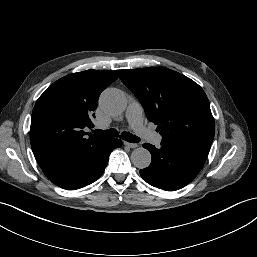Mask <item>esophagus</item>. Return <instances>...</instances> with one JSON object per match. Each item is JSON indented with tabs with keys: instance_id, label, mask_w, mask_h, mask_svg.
<instances>
[{
	"instance_id": "esophagus-1",
	"label": "esophagus",
	"mask_w": 257,
	"mask_h": 257,
	"mask_svg": "<svg viewBox=\"0 0 257 257\" xmlns=\"http://www.w3.org/2000/svg\"><path fill=\"white\" fill-rule=\"evenodd\" d=\"M124 145L129 147V148H136V147H138V144L130 143V142H126V141H124Z\"/></svg>"
}]
</instances>
